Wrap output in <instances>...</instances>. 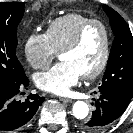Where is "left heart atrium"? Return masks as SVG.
<instances>
[{"instance_id":"left-heart-atrium-1","label":"left heart atrium","mask_w":133,"mask_h":133,"mask_svg":"<svg viewBox=\"0 0 133 133\" xmlns=\"http://www.w3.org/2000/svg\"><path fill=\"white\" fill-rule=\"evenodd\" d=\"M81 77L77 68L68 61H61L49 70L35 75L36 86L46 92L65 95Z\"/></svg>"}]
</instances>
